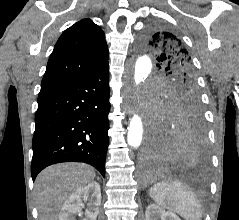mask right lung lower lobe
Instances as JSON below:
<instances>
[{
  "label": "right lung lower lobe",
  "mask_w": 239,
  "mask_h": 220,
  "mask_svg": "<svg viewBox=\"0 0 239 220\" xmlns=\"http://www.w3.org/2000/svg\"><path fill=\"white\" fill-rule=\"evenodd\" d=\"M109 65L75 81L41 89L31 174L60 162H84L105 177L109 144Z\"/></svg>",
  "instance_id": "98d812e1"
}]
</instances>
